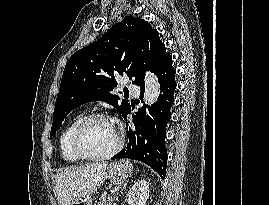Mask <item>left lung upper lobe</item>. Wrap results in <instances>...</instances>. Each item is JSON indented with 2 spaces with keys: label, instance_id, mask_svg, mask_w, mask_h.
Masks as SVG:
<instances>
[{
  "label": "left lung upper lobe",
  "instance_id": "1",
  "mask_svg": "<svg viewBox=\"0 0 269 205\" xmlns=\"http://www.w3.org/2000/svg\"><path fill=\"white\" fill-rule=\"evenodd\" d=\"M168 55L158 31L139 17L127 16L114 24L99 40L75 52L65 65L55 102L52 137L62 121L76 107L104 101L122 116L129 110L127 100L119 102L113 93L115 77L127 75L138 86L144 84L145 70L156 73Z\"/></svg>",
  "mask_w": 269,
  "mask_h": 205
}]
</instances>
